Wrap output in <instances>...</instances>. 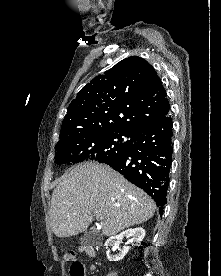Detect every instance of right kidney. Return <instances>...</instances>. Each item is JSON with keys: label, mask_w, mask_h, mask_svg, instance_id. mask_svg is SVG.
Here are the masks:
<instances>
[{"label": "right kidney", "mask_w": 221, "mask_h": 276, "mask_svg": "<svg viewBox=\"0 0 221 276\" xmlns=\"http://www.w3.org/2000/svg\"><path fill=\"white\" fill-rule=\"evenodd\" d=\"M144 236L145 230L141 227L128 229L122 232L120 235L110 237L105 242V246L106 248H108L109 246L117 247L119 246L123 238H130L129 242H135L136 244H140L141 241L144 239ZM129 249V246H124L118 255H111L109 251L106 252V255L109 261H120L128 253Z\"/></svg>", "instance_id": "ca27d5eb"}]
</instances>
